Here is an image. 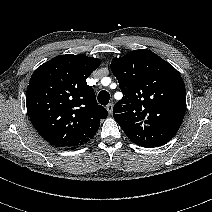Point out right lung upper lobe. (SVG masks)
I'll use <instances>...</instances> for the list:
<instances>
[{
	"mask_svg": "<svg viewBox=\"0 0 212 212\" xmlns=\"http://www.w3.org/2000/svg\"><path fill=\"white\" fill-rule=\"evenodd\" d=\"M97 58L66 54L42 64L26 92L30 119L39 134L58 148L80 146L97 132L107 110L98 105L86 79L99 66Z\"/></svg>",
	"mask_w": 212,
	"mask_h": 212,
	"instance_id": "obj_1",
	"label": "right lung upper lobe"
}]
</instances>
